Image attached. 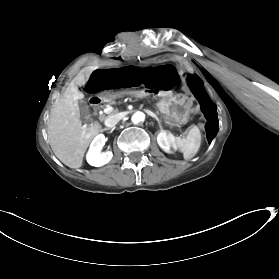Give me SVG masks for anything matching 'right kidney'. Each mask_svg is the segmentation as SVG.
<instances>
[{
	"mask_svg": "<svg viewBox=\"0 0 279 279\" xmlns=\"http://www.w3.org/2000/svg\"><path fill=\"white\" fill-rule=\"evenodd\" d=\"M105 144V137L103 134H99L92 141L90 148L86 154V160L91 166L100 167L109 163L113 157L112 148L110 150L101 153V149Z\"/></svg>",
	"mask_w": 279,
	"mask_h": 279,
	"instance_id": "ca27d5eb",
	"label": "right kidney"
}]
</instances>
